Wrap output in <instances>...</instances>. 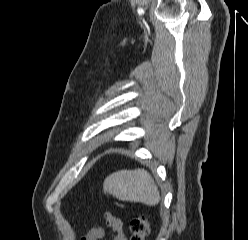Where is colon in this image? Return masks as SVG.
Instances as JSON below:
<instances>
[{
	"instance_id": "colon-1",
	"label": "colon",
	"mask_w": 248,
	"mask_h": 240,
	"mask_svg": "<svg viewBox=\"0 0 248 240\" xmlns=\"http://www.w3.org/2000/svg\"><path fill=\"white\" fill-rule=\"evenodd\" d=\"M150 223L144 216L133 219L130 223V240H145L149 234Z\"/></svg>"
}]
</instances>
